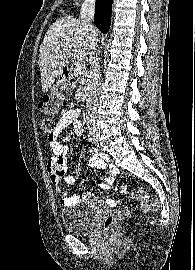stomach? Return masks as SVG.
Listing matches in <instances>:
<instances>
[{
	"mask_svg": "<svg viewBox=\"0 0 195 270\" xmlns=\"http://www.w3.org/2000/svg\"><path fill=\"white\" fill-rule=\"evenodd\" d=\"M61 82H63V80H59L58 83L60 84Z\"/></svg>",
	"mask_w": 195,
	"mask_h": 270,
	"instance_id": "1",
	"label": "stomach"
}]
</instances>
